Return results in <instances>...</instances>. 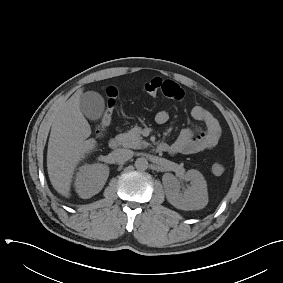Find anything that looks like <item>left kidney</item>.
<instances>
[{
  "label": "left kidney",
  "instance_id": "left-kidney-1",
  "mask_svg": "<svg viewBox=\"0 0 283 283\" xmlns=\"http://www.w3.org/2000/svg\"><path fill=\"white\" fill-rule=\"evenodd\" d=\"M185 178L190 186L180 193V181L172 174L163 176L166 198L174 207L182 210H199L208 204L207 184L198 170H188Z\"/></svg>",
  "mask_w": 283,
  "mask_h": 283
}]
</instances>
